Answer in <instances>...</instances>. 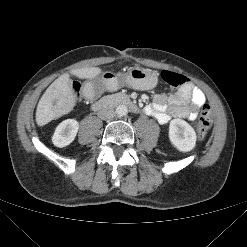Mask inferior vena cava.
<instances>
[{
  "label": "inferior vena cava",
  "instance_id": "602c4592",
  "mask_svg": "<svg viewBox=\"0 0 247 247\" xmlns=\"http://www.w3.org/2000/svg\"><path fill=\"white\" fill-rule=\"evenodd\" d=\"M115 111L112 108H102L98 112V117L102 120H111L115 117Z\"/></svg>",
  "mask_w": 247,
  "mask_h": 247
}]
</instances>
